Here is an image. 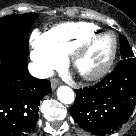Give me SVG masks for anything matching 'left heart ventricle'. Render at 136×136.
I'll use <instances>...</instances> for the list:
<instances>
[{
  "label": "left heart ventricle",
  "mask_w": 136,
  "mask_h": 136,
  "mask_svg": "<svg viewBox=\"0 0 136 136\" xmlns=\"http://www.w3.org/2000/svg\"><path fill=\"white\" fill-rule=\"evenodd\" d=\"M113 47V38L110 34H103L97 38L88 51L78 62L81 72H92L99 68L108 59Z\"/></svg>",
  "instance_id": "obj_1"
}]
</instances>
